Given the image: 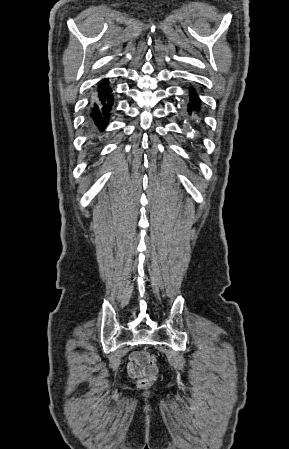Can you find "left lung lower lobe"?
<instances>
[{"mask_svg": "<svg viewBox=\"0 0 289 449\" xmlns=\"http://www.w3.org/2000/svg\"><path fill=\"white\" fill-rule=\"evenodd\" d=\"M190 98H191V102L189 104V109H188L189 115H191L192 111L199 110V106H200V100L193 89H190Z\"/></svg>", "mask_w": 289, "mask_h": 449, "instance_id": "1", "label": "left lung lower lobe"}]
</instances>
